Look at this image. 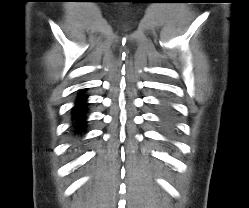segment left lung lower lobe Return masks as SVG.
Masks as SVG:
<instances>
[{"label":"left lung lower lobe","mask_w":249,"mask_h":208,"mask_svg":"<svg viewBox=\"0 0 249 208\" xmlns=\"http://www.w3.org/2000/svg\"><path fill=\"white\" fill-rule=\"evenodd\" d=\"M169 108L166 106L164 107V112H163V126L165 129H171L172 127V118H171V115L169 113Z\"/></svg>","instance_id":"0a47b994"}]
</instances>
